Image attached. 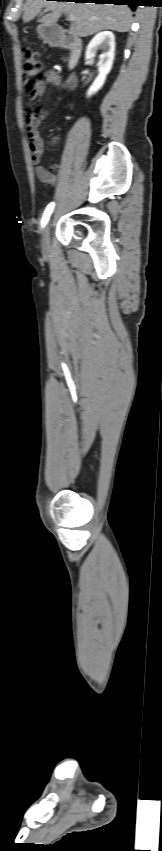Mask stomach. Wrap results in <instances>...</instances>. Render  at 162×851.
Returning <instances> with one entry per match:
<instances>
[{
  "label": "stomach",
  "instance_id": "stomach-1",
  "mask_svg": "<svg viewBox=\"0 0 162 851\" xmlns=\"http://www.w3.org/2000/svg\"><path fill=\"white\" fill-rule=\"evenodd\" d=\"M37 31L39 35L46 41H54L59 38V28L55 25L41 24Z\"/></svg>",
  "mask_w": 162,
  "mask_h": 851
}]
</instances>
